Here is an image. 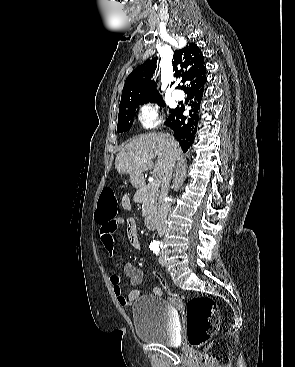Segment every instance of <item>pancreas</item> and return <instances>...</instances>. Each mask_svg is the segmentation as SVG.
<instances>
[{
	"label": "pancreas",
	"instance_id": "obj_1",
	"mask_svg": "<svg viewBox=\"0 0 295 367\" xmlns=\"http://www.w3.org/2000/svg\"><path fill=\"white\" fill-rule=\"evenodd\" d=\"M157 197L158 188L154 187L152 183L143 184L138 188L135 194V200L141 202L142 205V215L145 217L152 214L157 209Z\"/></svg>",
	"mask_w": 295,
	"mask_h": 367
}]
</instances>
